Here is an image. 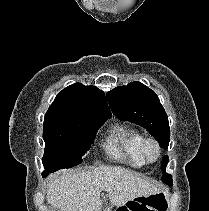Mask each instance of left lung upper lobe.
<instances>
[{
  "label": "left lung upper lobe",
  "mask_w": 209,
  "mask_h": 211,
  "mask_svg": "<svg viewBox=\"0 0 209 211\" xmlns=\"http://www.w3.org/2000/svg\"><path fill=\"white\" fill-rule=\"evenodd\" d=\"M112 112L120 119L136 123L148 130L165 150L170 141L168 117L160 104L158 96L140 82H132L127 86H119L107 93ZM168 156L162 159V180H170L172 176L165 172Z\"/></svg>",
  "instance_id": "obj_1"
}]
</instances>
